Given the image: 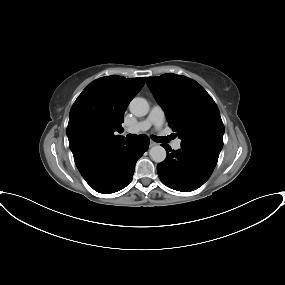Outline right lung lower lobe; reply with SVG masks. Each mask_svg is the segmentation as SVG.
Segmentation results:
<instances>
[{
	"label": "right lung lower lobe",
	"instance_id": "right-lung-lower-lobe-1",
	"mask_svg": "<svg viewBox=\"0 0 285 285\" xmlns=\"http://www.w3.org/2000/svg\"><path fill=\"white\" fill-rule=\"evenodd\" d=\"M149 138L124 139L94 150L75 161L85 181L97 192L110 194L126 187L133 178L137 160L147 151Z\"/></svg>",
	"mask_w": 285,
	"mask_h": 285
}]
</instances>
